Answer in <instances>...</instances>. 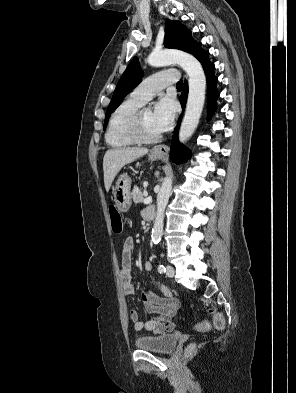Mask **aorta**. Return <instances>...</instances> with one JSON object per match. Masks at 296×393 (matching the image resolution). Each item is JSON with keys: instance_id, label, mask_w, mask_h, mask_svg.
Instances as JSON below:
<instances>
[{"instance_id": "762f6f07", "label": "aorta", "mask_w": 296, "mask_h": 393, "mask_svg": "<svg viewBox=\"0 0 296 393\" xmlns=\"http://www.w3.org/2000/svg\"><path fill=\"white\" fill-rule=\"evenodd\" d=\"M153 67H163L178 63L189 77V93L185 115L179 131V140L185 143L192 136L203 110L206 93V77L200 62L192 55L177 50L152 52L147 59ZM172 189V178L166 177L157 195V213L152 229V240L159 242L164 226V212Z\"/></svg>"}]
</instances>
